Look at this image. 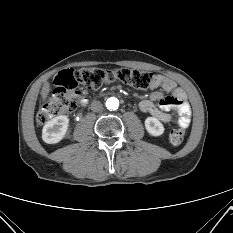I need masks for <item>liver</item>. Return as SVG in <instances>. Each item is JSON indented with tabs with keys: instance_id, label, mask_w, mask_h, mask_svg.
Returning <instances> with one entry per match:
<instances>
[{
	"instance_id": "obj_1",
	"label": "liver",
	"mask_w": 233,
	"mask_h": 233,
	"mask_svg": "<svg viewBox=\"0 0 233 233\" xmlns=\"http://www.w3.org/2000/svg\"><path fill=\"white\" fill-rule=\"evenodd\" d=\"M49 92H50V83L45 82L42 86V89H41V97H42L43 101H45L47 99Z\"/></svg>"
}]
</instances>
